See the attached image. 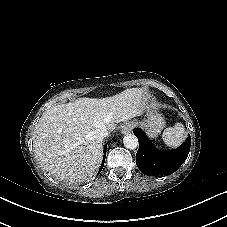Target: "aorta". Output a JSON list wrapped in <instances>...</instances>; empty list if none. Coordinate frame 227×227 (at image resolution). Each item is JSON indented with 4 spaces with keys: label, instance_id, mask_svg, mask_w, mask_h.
I'll return each mask as SVG.
<instances>
[{
    "label": "aorta",
    "instance_id": "762f6f07",
    "mask_svg": "<svg viewBox=\"0 0 227 227\" xmlns=\"http://www.w3.org/2000/svg\"><path fill=\"white\" fill-rule=\"evenodd\" d=\"M123 144L127 149L133 150L138 146V139L134 134H127L123 138Z\"/></svg>",
    "mask_w": 227,
    "mask_h": 227
}]
</instances>
